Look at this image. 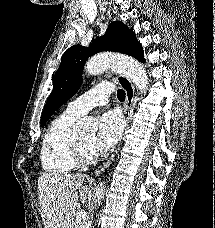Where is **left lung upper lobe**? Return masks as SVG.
<instances>
[{"instance_id": "obj_1", "label": "left lung upper lobe", "mask_w": 215, "mask_h": 228, "mask_svg": "<svg viewBox=\"0 0 215 228\" xmlns=\"http://www.w3.org/2000/svg\"><path fill=\"white\" fill-rule=\"evenodd\" d=\"M102 51L124 53L145 62L142 46L134 32L120 21L110 23L106 33L102 37H97L89 47L79 44L70 47L63 54L59 69L55 73L53 90L42 112V126L78 91L82 84V71L87 59Z\"/></svg>"}]
</instances>
